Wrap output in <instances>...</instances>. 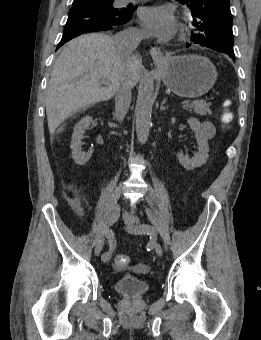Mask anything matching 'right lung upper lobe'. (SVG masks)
Masks as SVG:
<instances>
[{"mask_svg":"<svg viewBox=\"0 0 261 340\" xmlns=\"http://www.w3.org/2000/svg\"><path fill=\"white\" fill-rule=\"evenodd\" d=\"M86 1H91V0H74L73 3H77V2H86Z\"/></svg>","mask_w":261,"mask_h":340,"instance_id":"right-lung-upper-lobe-1","label":"right lung upper lobe"}]
</instances>
